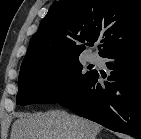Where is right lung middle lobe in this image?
I'll list each match as a JSON object with an SVG mask.
<instances>
[{"instance_id":"right-lung-middle-lobe-1","label":"right lung middle lobe","mask_w":141,"mask_h":139,"mask_svg":"<svg viewBox=\"0 0 141 139\" xmlns=\"http://www.w3.org/2000/svg\"><path fill=\"white\" fill-rule=\"evenodd\" d=\"M78 58L20 70L17 105L53 104L77 91L95 70L82 72Z\"/></svg>"}]
</instances>
